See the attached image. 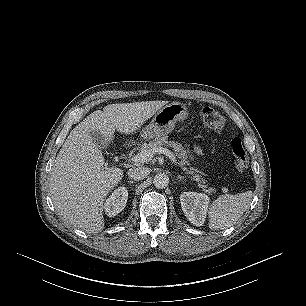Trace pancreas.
Listing matches in <instances>:
<instances>
[{"mask_svg":"<svg viewBox=\"0 0 306 306\" xmlns=\"http://www.w3.org/2000/svg\"><path fill=\"white\" fill-rule=\"evenodd\" d=\"M164 146H169L173 148L176 156L181 160L179 162V165L182 167V169L188 174L191 175V179L196 181L198 183V187L201 188L204 192L208 194H214L216 193V189L212 187H208L207 181L201 177L200 173L197 169H194L193 167H190L188 169L186 165H189V162L187 160L188 155L187 151L184 149L182 144L174 141H168L167 136L163 137H157L154 141H150L149 143H145L140 147V153H144L147 151H155L159 148H163Z\"/></svg>","mask_w":306,"mask_h":306,"instance_id":"obj_1","label":"pancreas"}]
</instances>
